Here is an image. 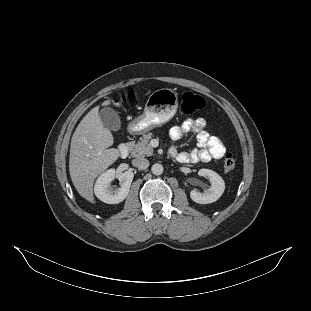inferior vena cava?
Masks as SVG:
<instances>
[{
    "label": "inferior vena cava",
    "mask_w": 311,
    "mask_h": 311,
    "mask_svg": "<svg viewBox=\"0 0 311 311\" xmlns=\"http://www.w3.org/2000/svg\"><path fill=\"white\" fill-rule=\"evenodd\" d=\"M132 165L139 169H147L149 166V161L146 158H135L132 160Z\"/></svg>",
    "instance_id": "obj_1"
}]
</instances>
